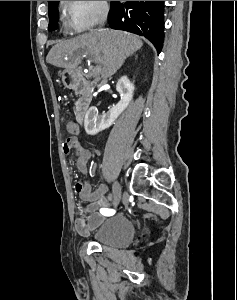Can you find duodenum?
<instances>
[{
	"instance_id": "duodenum-1",
	"label": "duodenum",
	"mask_w": 237,
	"mask_h": 300,
	"mask_svg": "<svg viewBox=\"0 0 237 300\" xmlns=\"http://www.w3.org/2000/svg\"><path fill=\"white\" fill-rule=\"evenodd\" d=\"M65 83L79 93L81 96L76 104V121L82 124L92 101V91L89 87L85 77L76 70H70L67 72Z\"/></svg>"
}]
</instances>
